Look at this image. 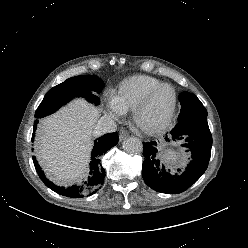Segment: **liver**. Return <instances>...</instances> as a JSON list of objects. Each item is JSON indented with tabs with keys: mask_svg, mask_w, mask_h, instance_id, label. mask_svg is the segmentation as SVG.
I'll list each match as a JSON object with an SVG mask.
<instances>
[{
	"mask_svg": "<svg viewBox=\"0 0 248 248\" xmlns=\"http://www.w3.org/2000/svg\"><path fill=\"white\" fill-rule=\"evenodd\" d=\"M98 116L97 109L77 99L41 120L36 156L57 183L72 184L86 174Z\"/></svg>",
	"mask_w": 248,
	"mask_h": 248,
	"instance_id": "liver-1",
	"label": "liver"
}]
</instances>
